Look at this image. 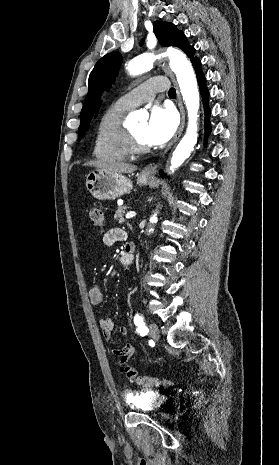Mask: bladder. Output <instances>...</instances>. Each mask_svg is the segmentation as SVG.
Returning a JSON list of instances; mask_svg holds the SVG:
<instances>
[{"label":"bladder","instance_id":"31cf9c89","mask_svg":"<svg viewBox=\"0 0 279 465\" xmlns=\"http://www.w3.org/2000/svg\"><path fill=\"white\" fill-rule=\"evenodd\" d=\"M166 402V397L157 392H131L127 396V404L138 412H153L160 409Z\"/></svg>","mask_w":279,"mask_h":465}]
</instances>
